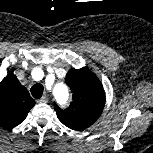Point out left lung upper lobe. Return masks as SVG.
<instances>
[{
    "mask_svg": "<svg viewBox=\"0 0 153 153\" xmlns=\"http://www.w3.org/2000/svg\"><path fill=\"white\" fill-rule=\"evenodd\" d=\"M66 84L73 93L67 109L56 103L54 109L59 120L68 128L81 131L91 126L101 115L105 105L103 86L88 68L71 69L66 75Z\"/></svg>",
    "mask_w": 153,
    "mask_h": 153,
    "instance_id": "left-lung-upper-lobe-1",
    "label": "left lung upper lobe"
}]
</instances>
